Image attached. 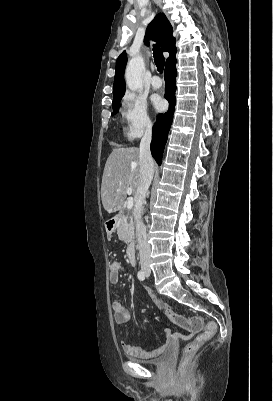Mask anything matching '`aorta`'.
<instances>
[{
  "instance_id": "aorta-1",
  "label": "aorta",
  "mask_w": 273,
  "mask_h": 401,
  "mask_svg": "<svg viewBox=\"0 0 273 401\" xmlns=\"http://www.w3.org/2000/svg\"><path fill=\"white\" fill-rule=\"evenodd\" d=\"M145 68L142 57L132 58L126 68L125 79L128 88L136 91L142 88V73Z\"/></svg>"
}]
</instances>
